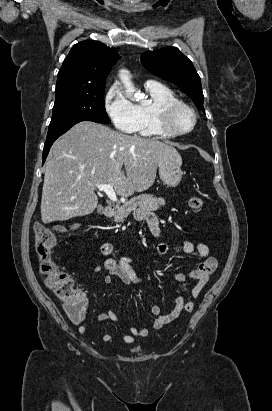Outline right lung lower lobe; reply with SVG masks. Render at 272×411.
Returning a JSON list of instances; mask_svg holds the SVG:
<instances>
[{
	"label": "right lung lower lobe",
	"instance_id": "1",
	"mask_svg": "<svg viewBox=\"0 0 272 411\" xmlns=\"http://www.w3.org/2000/svg\"><path fill=\"white\" fill-rule=\"evenodd\" d=\"M71 127H72V126H71ZM71 127L67 128L65 131H63V132L60 133V134H57V135H54V136H51V137H47V138H46V142H45V144H44V150H43V163L45 162L46 157H47V155H48V153H49L50 147L52 146V144L54 143V141H55L59 136H61L63 133H65L66 131H68Z\"/></svg>",
	"mask_w": 272,
	"mask_h": 411
}]
</instances>
